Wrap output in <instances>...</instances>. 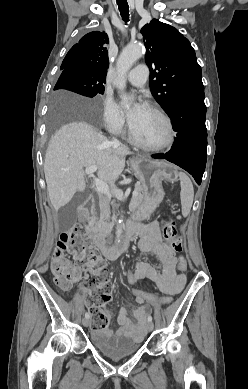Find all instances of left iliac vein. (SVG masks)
Segmentation results:
<instances>
[{"mask_svg":"<svg viewBox=\"0 0 248 389\" xmlns=\"http://www.w3.org/2000/svg\"><path fill=\"white\" fill-rule=\"evenodd\" d=\"M147 329L148 331H152L154 329V324L152 322H148Z\"/></svg>","mask_w":248,"mask_h":389,"instance_id":"obj_1","label":"left iliac vein"}]
</instances>
